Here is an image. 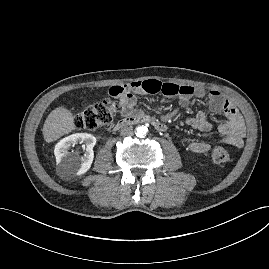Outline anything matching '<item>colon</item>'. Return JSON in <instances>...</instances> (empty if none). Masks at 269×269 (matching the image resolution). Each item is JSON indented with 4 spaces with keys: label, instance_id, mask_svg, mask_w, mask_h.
<instances>
[{
    "label": "colon",
    "instance_id": "colon-1",
    "mask_svg": "<svg viewBox=\"0 0 269 269\" xmlns=\"http://www.w3.org/2000/svg\"><path fill=\"white\" fill-rule=\"evenodd\" d=\"M110 95L117 98L115 94ZM118 109L119 102L111 98L92 104L76 116L75 126L77 129L95 130L111 123ZM211 158L215 164L226 165L232 159V152L226 147L215 146L211 151Z\"/></svg>",
    "mask_w": 269,
    "mask_h": 269
}]
</instances>
